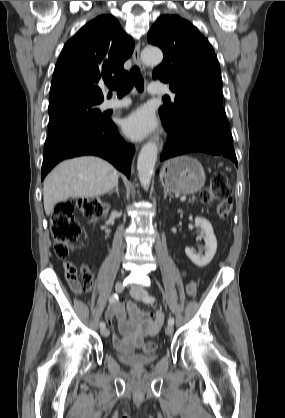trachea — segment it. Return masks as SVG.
<instances>
[{
    "label": "trachea",
    "instance_id": "trachea-1",
    "mask_svg": "<svg viewBox=\"0 0 285 418\" xmlns=\"http://www.w3.org/2000/svg\"><path fill=\"white\" fill-rule=\"evenodd\" d=\"M134 86L139 92H143L144 79L137 66L132 67L130 73L122 82L108 85L110 89L117 90L118 97H123L126 95ZM164 98L168 97L165 96Z\"/></svg>",
    "mask_w": 285,
    "mask_h": 418
}]
</instances>
